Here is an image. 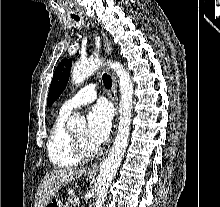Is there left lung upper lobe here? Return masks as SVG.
Segmentation results:
<instances>
[{
    "instance_id": "5c2ea615",
    "label": "left lung upper lobe",
    "mask_w": 220,
    "mask_h": 207,
    "mask_svg": "<svg viewBox=\"0 0 220 207\" xmlns=\"http://www.w3.org/2000/svg\"><path fill=\"white\" fill-rule=\"evenodd\" d=\"M71 65V59H64L55 69L48 93V106H51L53 102L59 98L66 87L70 76Z\"/></svg>"
}]
</instances>
